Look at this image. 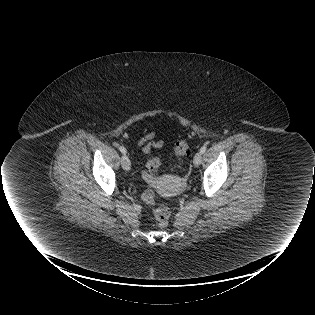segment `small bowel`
<instances>
[{
    "mask_svg": "<svg viewBox=\"0 0 315 315\" xmlns=\"http://www.w3.org/2000/svg\"><path fill=\"white\" fill-rule=\"evenodd\" d=\"M156 131H151L137 140V145L142 148L144 154H150L152 150L162 148L165 145L163 140H155Z\"/></svg>",
    "mask_w": 315,
    "mask_h": 315,
    "instance_id": "1",
    "label": "small bowel"
}]
</instances>
